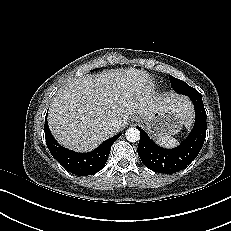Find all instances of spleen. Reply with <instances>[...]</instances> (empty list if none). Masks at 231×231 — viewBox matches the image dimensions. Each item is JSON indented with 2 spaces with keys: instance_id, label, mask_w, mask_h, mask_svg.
Here are the masks:
<instances>
[{
  "instance_id": "1",
  "label": "spleen",
  "mask_w": 231,
  "mask_h": 231,
  "mask_svg": "<svg viewBox=\"0 0 231 231\" xmlns=\"http://www.w3.org/2000/svg\"><path fill=\"white\" fill-rule=\"evenodd\" d=\"M156 142L165 148L175 147L178 144V141L171 135L161 136L157 138Z\"/></svg>"
}]
</instances>
